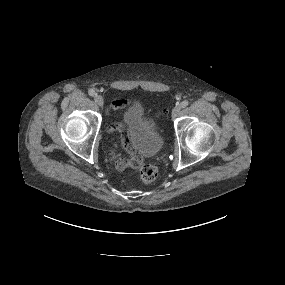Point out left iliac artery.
Segmentation results:
<instances>
[{
    "mask_svg": "<svg viewBox=\"0 0 285 285\" xmlns=\"http://www.w3.org/2000/svg\"><path fill=\"white\" fill-rule=\"evenodd\" d=\"M180 105H181L182 108H185V107H187L189 105V102L187 100H184L183 102H181Z\"/></svg>",
    "mask_w": 285,
    "mask_h": 285,
    "instance_id": "obj_1",
    "label": "left iliac artery"
}]
</instances>
